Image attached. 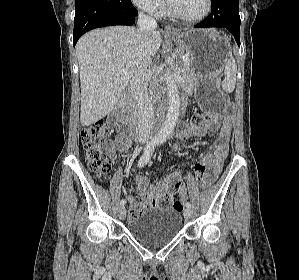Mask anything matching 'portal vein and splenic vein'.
Segmentation results:
<instances>
[{"instance_id":"obj_1","label":"portal vein and splenic vein","mask_w":299,"mask_h":280,"mask_svg":"<svg viewBox=\"0 0 299 280\" xmlns=\"http://www.w3.org/2000/svg\"><path fill=\"white\" fill-rule=\"evenodd\" d=\"M182 61L183 62H187V61H189V58L188 57H183L182 58ZM122 74H127V70H120L119 72H118V75H122Z\"/></svg>"}]
</instances>
